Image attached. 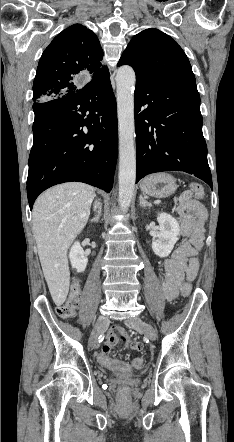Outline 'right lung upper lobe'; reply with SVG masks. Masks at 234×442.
<instances>
[{"instance_id": "right-lung-upper-lobe-1", "label": "right lung upper lobe", "mask_w": 234, "mask_h": 442, "mask_svg": "<svg viewBox=\"0 0 234 442\" xmlns=\"http://www.w3.org/2000/svg\"><path fill=\"white\" fill-rule=\"evenodd\" d=\"M102 58L100 42L90 29L74 24L63 30L40 58L33 83V100L73 95L82 89L79 80L83 77L92 81L109 74Z\"/></svg>"}]
</instances>
